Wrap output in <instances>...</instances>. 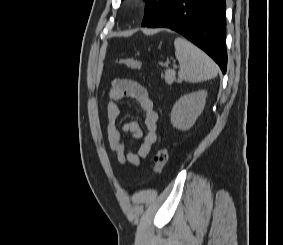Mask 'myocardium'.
Here are the masks:
<instances>
[{"instance_id":"1","label":"myocardium","mask_w":283,"mask_h":245,"mask_svg":"<svg viewBox=\"0 0 283 245\" xmlns=\"http://www.w3.org/2000/svg\"><path fill=\"white\" fill-rule=\"evenodd\" d=\"M146 2L147 0H132V3L136 8L142 7Z\"/></svg>"}]
</instances>
